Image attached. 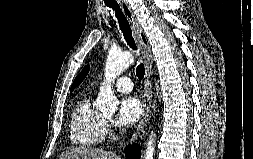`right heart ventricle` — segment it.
Masks as SVG:
<instances>
[{
    "instance_id": "obj_1",
    "label": "right heart ventricle",
    "mask_w": 253,
    "mask_h": 159,
    "mask_svg": "<svg viewBox=\"0 0 253 159\" xmlns=\"http://www.w3.org/2000/svg\"><path fill=\"white\" fill-rule=\"evenodd\" d=\"M69 127L72 144L82 148L102 144L107 132L105 118L93 107L90 97L75 106L70 115Z\"/></svg>"
}]
</instances>
